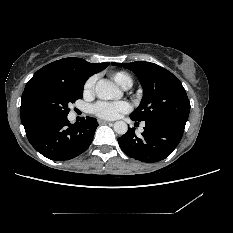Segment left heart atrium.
Here are the masks:
<instances>
[{
    "label": "left heart atrium",
    "instance_id": "obj_1",
    "mask_svg": "<svg viewBox=\"0 0 233 233\" xmlns=\"http://www.w3.org/2000/svg\"><path fill=\"white\" fill-rule=\"evenodd\" d=\"M130 104L126 101H99L92 106V112L101 119L113 120L129 112Z\"/></svg>",
    "mask_w": 233,
    "mask_h": 233
}]
</instances>
